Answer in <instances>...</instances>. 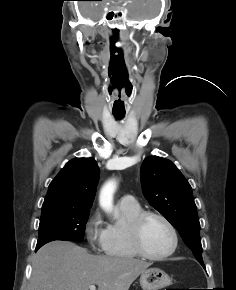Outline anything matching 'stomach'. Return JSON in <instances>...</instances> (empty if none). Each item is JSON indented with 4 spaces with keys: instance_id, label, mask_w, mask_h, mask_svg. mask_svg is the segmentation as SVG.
Listing matches in <instances>:
<instances>
[{
    "instance_id": "1",
    "label": "stomach",
    "mask_w": 236,
    "mask_h": 290,
    "mask_svg": "<svg viewBox=\"0 0 236 290\" xmlns=\"http://www.w3.org/2000/svg\"><path fill=\"white\" fill-rule=\"evenodd\" d=\"M139 282L143 290H160L171 285L172 280L163 270L150 268L141 273Z\"/></svg>"
}]
</instances>
